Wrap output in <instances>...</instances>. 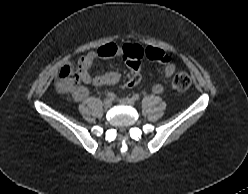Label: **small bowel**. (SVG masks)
<instances>
[{"label": "small bowel", "instance_id": "small-bowel-1", "mask_svg": "<svg viewBox=\"0 0 248 194\" xmlns=\"http://www.w3.org/2000/svg\"><path fill=\"white\" fill-rule=\"evenodd\" d=\"M160 52L159 49L153 47L143 48L139 44H124L117 45L114 43H108L100 47L96 51L88 52L78 60V74L81 81L87 85L93 86H111L120 81L121 75L117 71H109L101 75L90 74V68L93 63L98 59H108L114 56L122 57L131 71L133 72L139 66V60L146 56L150 59L156 60L155 54ZM176 70V64H167L164 68V79H169ZM139 82H133L132 78L126 82L127 88L136 86ZM164 85L162 82H154L152 84V91L156 94L163 92ZM88 89L85 86H77L72 96L74 100L80 102L88 96Z\"/></svg>", "mask_w": 248, "mask_h": 194}]
</instances>
